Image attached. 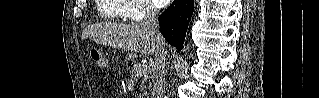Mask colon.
<instances>
[{
	"instance_id": "obj_1",
	"label": "colon",
	"mask_w": 319,
	"mask_h": 98,
	"mask_svg": "<svg viewBox=\"0 0 319 98\" xmlns=\"http://www.w3.org/2000/svg\"><path fill=\"white\" fill-rule=\"evenodd\" d=\"M89 56L94 65L100 68L107 67V60L98 49L91 48L89 50Z\"/></svg>"
}]
</instances>
